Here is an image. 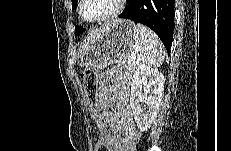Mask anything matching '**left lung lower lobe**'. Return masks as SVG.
Wrapping results in <instances>:
<instances>
[{
  "instance_id": "1",
  "label": "left lung lower lobe",
  "mask_w": 231,
  "mask_h": 151,
  "mask_svg": "<svg viewBox=\"0 0 231 151\" xmlns=\"http://www.w3.org/2000/svg\"><path fill=\"white\" fill-rule=\"evenodd\" d=\"M175 0H136L120 18L130 19L152 29L170 51L174 30Z\"/></svg>"
}]
</instances>
